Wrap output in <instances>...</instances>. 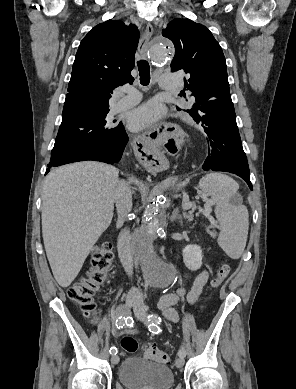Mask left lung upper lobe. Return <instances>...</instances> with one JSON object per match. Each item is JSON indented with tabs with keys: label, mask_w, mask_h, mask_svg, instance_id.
Returning <instances> with one entry per match:
<instances>
[{
	"label": "left lung upper lobe",
	"mask_w": 296,
	"mask_h": 389,
	"mask_svg": "<svg viewBox=\"0 0 296 389\" xmlns=\"http://www.w3.org/2000/svg\"><path fill=\"white\" fill-rule=\"evenodd\" d=\"M162 35L175 46L171 71L185 74V87L195 100L187 112L200 123L208 107L231 96L222 48L207 27L189 19H174Z\"/></svg>",
	"instance_id": "1"
}]
</instances>
